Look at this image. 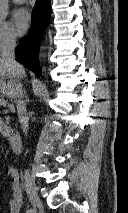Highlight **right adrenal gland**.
Segmentation results:
<instances>
[{
	"label": "right adrenal gland",
	"instance_id": "1",
	"mask_svg": "<svg viewBox=\"0 0 128 213\" xmlns=\"http://www.w3.org/2000/svg\"><path fill=\"white\" fill-rule=\"evenodd\" d=\"M24 96H25L26 100H28V95H27L25 89H24Z\"/></svg>",
	"mask_w": 128,
	"mask_h": 213
}]
</instances>
